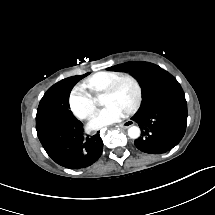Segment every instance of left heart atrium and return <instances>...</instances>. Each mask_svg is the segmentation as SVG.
Here are the masks:
<instances>
[{
  "label": "left heart atrium",
  "mask_w": 215,
  "mask_h": 215,
  "mask_svg": "<svg viewBox=\"0 0 215 215\" xmlns=\"http://www.w3.org/2000/svg\"><path fill=\"white\" fill-rule=\"evenodd\" d=\"M124 109L121 105H111L97 113L92 120V127L95 130H102L105 126L113 125L121 120Z\"/></svg>",
  "instance_id": "left-heart-atrium-1"
}]
</instances>
